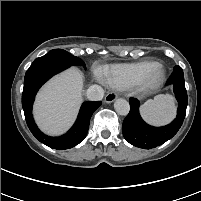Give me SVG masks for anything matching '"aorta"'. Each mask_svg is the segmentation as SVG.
Returning <instances> with one entry per match:
<instances>
[{
	"label": "aorta",
	"instance_id": "762f6f07",
	"mask_svg": "<svg viewBox=\"0 0 201 201\" xmlns=\"http://www.w3.org/2000/svg\"><path fill=\"white\" fill-rule=\"evenodd\" d=\"M114 109L119 115L126 116L130 111L129 102L125 99H117L114 102Z\"/></svg>",
	"mask_w": 201,
	"mask_h": 201
}]
</instances>
